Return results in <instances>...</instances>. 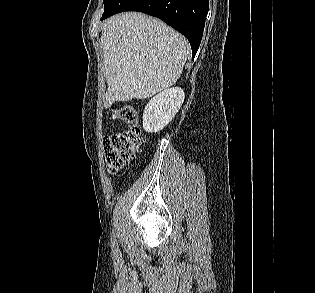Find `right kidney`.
Here are the masks:
<instances>
[{
	"mask_svg": "<svg viewBox=\"0 0 315 293\" xmlns=\"http://www.w3.org/2000/svg\"><path fill=\"white\" fill-rule=\"evenodd\" d=\"M184 98L185 93L179 87L167 89L153 97L144 109L143 129L148 133L161 131L174 118Z\"/></svg>",
	"mask_w": 315,
	"mask_h": 293,
	"instance_id": "1",
	"label": "right kidney"
}]
</instances>
